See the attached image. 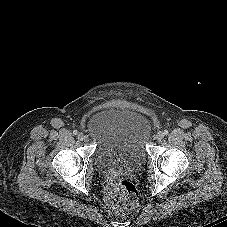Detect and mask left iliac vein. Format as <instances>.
<instances>
[{
	"instance_id": "left-iliac-vein-1",
	"label": "left iliac vein",
	"mask_w": 227,
	"mask_h": 227,
	"mask_svg": "<svg viewBox=\"0 0 227 227\" xmlns=\"http://www.w3.org/2000/svg\"><path fill=\"white\" fill-rule=\"evenodd\" d=\"M164 138V133L162 131H159L157 134H156V139L158 141H161L162 139Z\"/></svg>"
}]
</instances>
